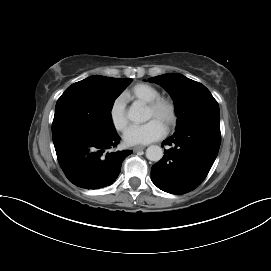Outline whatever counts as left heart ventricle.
<instances>
[{
  "instance_id": "b2bd125f",
  "label": "left heart ventricle",
  "mask_w": 271,
  "mask_h": 271,
  "mask_svg": "<svg viewBox=\"0 0 271 271\" xmlns=\"http://www.w3.org/2000/svg\"><path fill=\"white\" fill-rule=\"evenodd\" d=\"M167 115H168V113H167L166 109H161L157 113L151 111L148 108L146 110V119L147 120L155 119V120L159 121L161 124H163L164 126L166 124Z\"/></svg>"
}]
</instances>
